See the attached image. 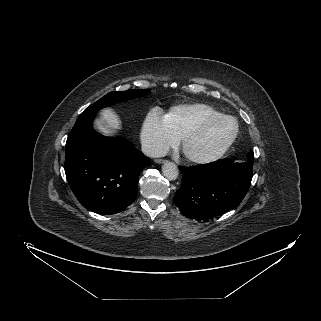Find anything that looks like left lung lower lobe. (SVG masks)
Segmentation results:
<instances>
[{"label": "left lung lower lobe", "instance_id": "obj_1", "mask_svg": "<svg viewBox=\"0 0 321 321\" xmlns=\"http://www.w3.org/2000/svg\"><path fill=\"white\" fill-rule=\"evenodd\" d=\"M254 156L245 163L231 159L186 167L174 203L187 218L208 220L237 207L253 176Z\"/></svg>", "mask_w": 321, "mask_h": 321}]
</instances>
